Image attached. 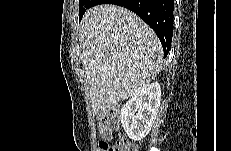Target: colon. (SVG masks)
Here are the masks:
<instances>
[{
    "mask_svg": "<svg viewBox=\"0 0 231 151\" xmlns=\"http://www.w3.org/2000/svg\"><path fill=\"white\" fill-rule=\"evenodd\" d=\"M118 111L115 108L101 111L98 116V129L103 138L98 151H136V147L130 141L120 138L115 143L108 142L117 123Z\"/></svg>",
    "mask_w": 231,
    "mask_h": 151,
    "instance_id": "obj_1",
    "label": "colon"
}]
</instances>
